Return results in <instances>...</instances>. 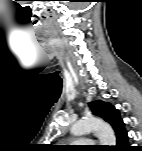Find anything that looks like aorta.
I'll return each mask as SVG.
<instances>
[{"mask_svg":"<svg viewBox=\"0 0 142 151\" xmlns=\"http://www.w3.org/2000/svg\"><path fill=\"white\" fill-rule=\"evenodd\" d=\"M95 131L98 135L101 145L115 146L116 137L113 129L106 122L90 117L77 121L71 127V134L81 136L88 132Z\"/></svg>","mask_w":142,"mask_h":151,"instance_id":"aorta-1","label":"aorta"}]
</instances>
